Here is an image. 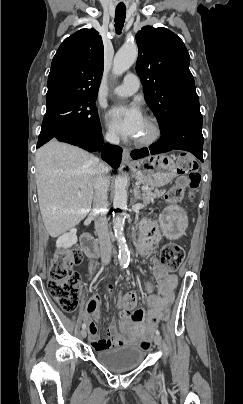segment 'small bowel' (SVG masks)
<instances>
[{"mask_svg": "<svg viewBox=\"0 0 243 404\" xmlns=\"http://www.w3.org/2000/svg\"><path fill=\"white\" fill-rule=\"evenodd\" d=\"M161 240L158 225L154 222H143L137 247L140 255L147 259ZM152 270L159 282V295H150L147 299L150 309L146 312L137 308L129 317H124L119 325L112 322L109 336L98 337V325L88 319L89 341L94 349L102 350L136 343L144 334H151L163 316L169 312L174 301L177 277L171 275L157 260H149ZM99 295H93L87 303V313L95 318L99 316Z\"/></svg>", "mask_w": 243, "mask_h": 404, "instance_id": "small-bowel-1", "label": "small bowel"}]
</instances>
